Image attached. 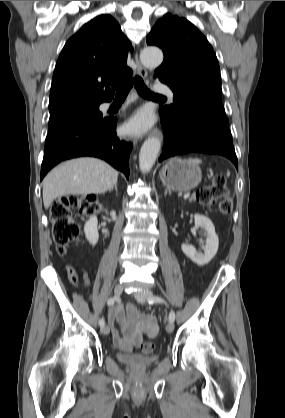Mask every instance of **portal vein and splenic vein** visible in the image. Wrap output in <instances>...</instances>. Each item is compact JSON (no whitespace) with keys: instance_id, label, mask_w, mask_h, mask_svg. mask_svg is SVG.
Instances as JSON below:
<instances>
[{"instance_id":"portal-vein-and-splenic-vein-1","label":"portal vein and splenic vein","mask_w":285,"mask_h":418,"mask_svg":"<svg viewBox=\"0 0 285 418\" xmlns=\"http://www.w3.org/2000/svg\"><path fill=\"white\" fill-rule=\"evenodd\" d=\"M189 197H190V193L189 192L184 195V199H188Z\"/></svg>"}]
</instances>
